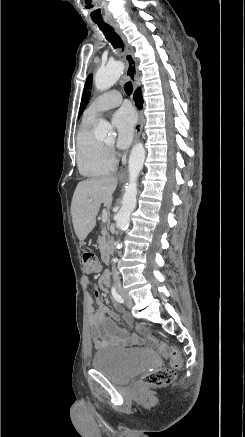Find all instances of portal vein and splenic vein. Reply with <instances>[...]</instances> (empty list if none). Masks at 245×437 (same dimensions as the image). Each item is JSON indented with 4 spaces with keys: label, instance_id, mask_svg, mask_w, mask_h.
I'll return each instance as SVG.
<instances>
[{
    "label": "portal vein and splenic vein",
    "instance_id": "1",
    "mask_svg": "<svg viewBox=\"0 0 245 437\" xmlns=\"http://www.w3.org/2000/svg\"><path fill=\"white\" fill-rule=\"evenodd\" d=\"M89 202H92V200L90 199ZM108 218H109L108 212L106 210H103L102 211V221L106 222L108 220Z\"/></svg>",
    "mask_w": 245,
    "mask_h": 437
}]
</instances>
